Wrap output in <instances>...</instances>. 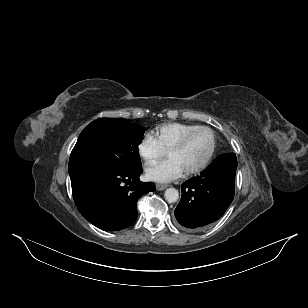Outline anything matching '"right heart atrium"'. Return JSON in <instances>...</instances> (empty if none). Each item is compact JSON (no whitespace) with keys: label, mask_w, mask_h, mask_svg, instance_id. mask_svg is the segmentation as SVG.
<instances>
[{"label":"right heart atrium","mask_w":308,"mask_h":308,"mask_svg":"<svg viewBox=\"0 0 308 308\" xmlns=\"http://www.w3.org/2000/svg\"><path fill=\"white\" fill-rule=\"evenodd\" d=\"M137 153L145 165L150 166L163 156L164 150L152 135L146 134L137 144Z\"/></svg>","instance_id":"1"}]
</instances>
